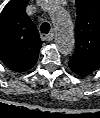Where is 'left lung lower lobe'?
Listing matches in <instances>:
<instances>
[{"label": "left lung lower lobe", "mask_w": 100, "mask_h": 118, "mask_svg": "<svg viewBox=\"0 0 100 118\" xmlns=\"http://www.w3.org/2000/svg\"><path fill=\"white\" fill-rule=\"evenodd\" d=\"M68 65H69L70 69L74 73L78 74L79 76L85 77V76H88L90 74V72H88V71H86V70H84V69H82V68H80L78 66L71 65L69 63H68Z\"/></svg>", "instance_id": "0a47b994"}]
</instances>
